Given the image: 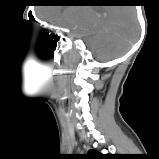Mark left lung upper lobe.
Segmentation results:
<instances>
[{"label":"left lung upper lobe","mask_w":159,"mask_h":159,"mask_svg":"<svg viewBox=\"0 0 159 159\" xmlns=\"http://www.w3.org/2000/svg\"><path fill=\"white\" fill-rule=\"evenodd\" d=\"M85 159H111L110 155H103L96 151H89V153L84 157Z\"/></svg>","instance_id":"1"}]
</instances>
